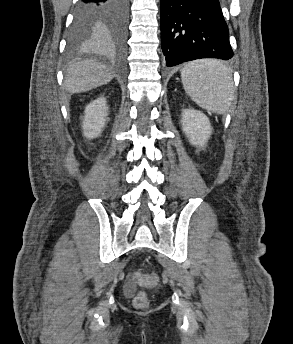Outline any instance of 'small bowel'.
<instances>
[{"label":"small bowel","instance_id":"1","mask_svg":"<svg viewBox=\"0 0 293 344\" xmlns=\"http://www.w3.org/2000/svg\"><path fill=\"white\" fill-rule=\"evenodd\" d=\"M135 289H136V286H135L134 281H132L131 278L128 277L126 284H125V287H124V291H125L126 295L132 296L135 292Z\"/></svg>","mask_w":293,"mask_h":344}]
</instances>
